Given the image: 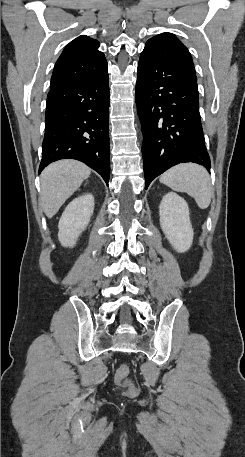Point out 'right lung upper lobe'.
<instances>
[{
    "label": "right lung upper lobe",
    "instance_id": "cb5924a9",
    "mask_svg": "<svg viewBox=\"0 0 245 457\" xmlns=\"http://www.w3.org/2000/svg\"><path fill=\"white\" fill-rule=\"evenodd\" d=\"M98 47L97 40L85 35L70 42L55 64L51 88L71 80L104 72L108 64Z\"/></svg>",
    "mask_w": 245,
    "mask_h": 457
}]
</instances>
